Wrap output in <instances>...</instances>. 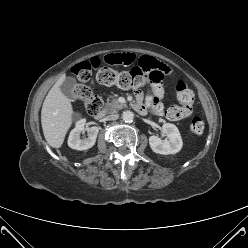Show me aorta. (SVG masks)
I'll return each mask as SVG.
<instances>
[{"mask_svg":"<svg viewBox=\"0 0 248 248\" xmlns=\"http://www.w3.org/2000/svg\"><path fill=\"white\" fill-rule=\"evenodd\" d=\"M122 119L125 122H132L134 119V114L133 112L127 110L122 113Z\"/></svg>","mask_w":248,"mask_h":248,"instance_id":"762f6f07","label":"aorta"}]
</instances>
